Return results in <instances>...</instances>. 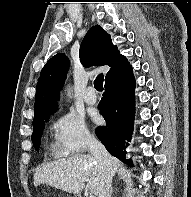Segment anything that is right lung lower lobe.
I'll return each instance as SVG.
<instances>
[{
  "instance_id": "obj_1",
  "label": "right lung lower lobe",
  "mask_w": 191,
  "mask_h": 197,
  "mask_svg": "<svg viewBox=\"0 0 191 197\" xmlns=\"http://www.w3.org/2000/svg\"><path fill=\"white\" fill-rule=\"evenodd\" d=\"M134 88L135 79L132 69L129 68L123 74L105 82L104 97L99 103L106 126L97 127L96 135L111 155L125 163H128V160L125 159L123 150L131 140L134 123Z\"/></svg>"
}]
</instances>
